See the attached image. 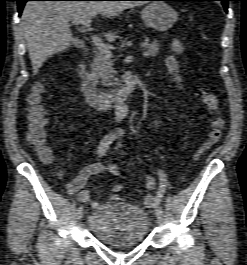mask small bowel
Wrapping results in <instances>:
<instances>
[{"label":"small bowel","instance_id":"1","mask_svg":"<svg viewBox=\"0 0 247 265\" xmlns=\"http://www.w3.org/2000/svg\"><path fill=\"white\" fill-rule=\"evenodd\" d=\"M212 111H215L216 106L211 108ZM161 123V119L157 118L154 121V127H158ZM104 172V167L99 164V163H93L85 166L79 173L78 175L70 181L66 185V192L73 196L76 200L80 202H87L91 200L92 195L91 191L87 188H85V184L87 180L93 176V175H98ZM155 180L151 176H145L144 178V188L148 191L154 190L155 189ZM122 185L121 184H115L111 188L110 192V198L113 201H121L123 200L120 192L122 190ZM154 202V196L151 194H147L144 197L143 204L145 207L149 208L152 206Z\"/></svg>","mask_w":247,"mask_h":265}]
</instances>
